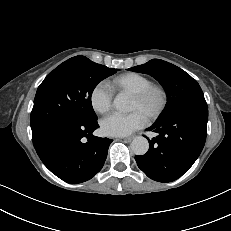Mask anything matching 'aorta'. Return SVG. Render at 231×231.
I'll list each match as a JSON object with an SVG mask.
<instances>
[{
  "mask_svg": "<svg viewBox=\"0 0 231 231\" xmlns=\"http://www.w3.org/2000/svg\"><path fill=\"white\" fill-rule=\"evenodd\" d=\"M113 106L120 112H129L131 110L129 100L121 94L115 97ZM130 147L135 155H144L149 149V142L145 137L138 136L133 139Z\"/></svg>",
  "mask_w": 231,
  "mask_h": 231,
  "instance_id": "obj_1",
  "label": "aorta"
}]
</instances>
